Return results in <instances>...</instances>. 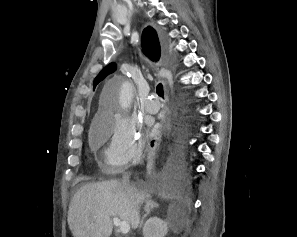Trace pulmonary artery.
<instances>
[{
  "label": "pulmonary artery",
  "instance_id": "e3ab8cb5",
  "mask_svg": "<svg viewBox=\"0 0 297 237\" xmlns=\"http://www.w3.org/2000/svg\"><path fill=\"white\" fill-rule=\"evenodd\" d=\"M144 108L148 113L154 114L158 112L160 104L153 96H149L144 102Z\"/></svg>",
  "mask_w": 297,
  "mask_h": 237
}]
</instances>
